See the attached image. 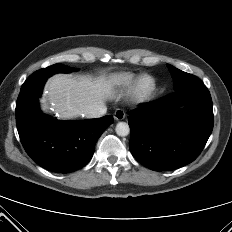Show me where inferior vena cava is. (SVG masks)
Returning a JSON list of instances; mask_svg holds the SVG:
<instances>
[{
    "label": "inferior vena cava",
    "mask_w": 232,
    "mask_h": 232,
    "mask_svg": "<svg viewBox=\"0 0 232 232\" xmlns=\"http://www.w3.org/2000/svg\"><path fill=\"white\" fill-rule=\"evenodd\" d=\"M107 111V107L103 105H99L96 108L86 111L85 116L87 118H99L102 117Z\"/></svg>",
    "instance_id": "obj_1"
}]
</instances>
